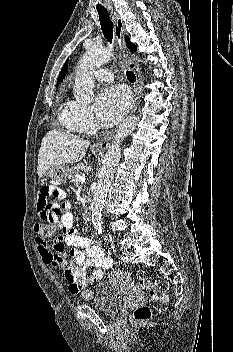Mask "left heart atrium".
Returning a JSON list of instances; mask_svg holds the SVG:
<instances>
[{
  "label": "left heart atrium",
  "instance_id": "obj_1",
  "mask_svg": "<svg viewBox=\"0 0 233 352\" xmlns=\"http://www.w3.org/2000/svg\"><path fill=\"white\" fill-rule=\"evenodd\" d=\"M129 104L130 96L123 87L114 86L103 89L96 101L99 121L105 126L115 124L125 114Z\"/></svg>",
  "mask_w": 233,
  "mask_h": 352
}]
</instances>
